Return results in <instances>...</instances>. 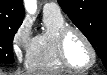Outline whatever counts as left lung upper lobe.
Listing matches in <instances>:
<instances>
[{"label": "left lung upper lobe", "mask_w": 107, "mask_h": 75, "mask_svg": "<svg viewBox=\"0 0 107 75\" xmlns=\"http://www.w3.org/2000/svg\"><path fill=\"white\" fill-rule=\"evenodd\" d=\"M87 37L107 69V0H58Z\"/></svg>", "instance_id": "1"}]
</instances>
